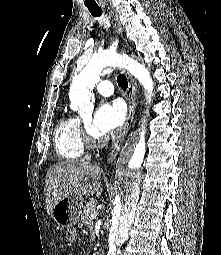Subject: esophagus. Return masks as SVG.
<instances>
[{"label": "esophagus", "instance_id": "1", "mask_svg": "<svg viewBox=\"0 0 221 255\" xmlns=\"http://www.w3.org/2000/svg\"><path fill=\"white\" fill-rule=\"evenodd\" d=\"M109 17L112 20V23L114 25V28L116 29L117 34L122 39L123 38V30H122L120 22L115 17L113 12H109ZM126 75H127V79H128L129 109H128V114H127L126 120H125L123 126L121 127L120 132L117 136L116 142L114 143L111 152L107 156V164L108 165L111 164L115 160L118 152L120 151V149L123 145V142L125 140V137L130 129V126H131V123L133 121V117H134L135 111H136L137 97H136L135 82L128 72L126 73Z\"/></svg>", "mask_w": 221, "mask_h": 255}]
</instances>
